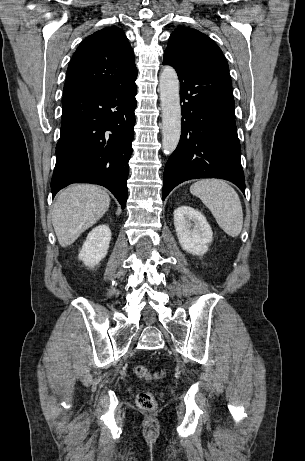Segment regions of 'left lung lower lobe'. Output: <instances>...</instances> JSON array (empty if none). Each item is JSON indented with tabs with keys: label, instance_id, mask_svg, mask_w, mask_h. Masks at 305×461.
<instances>
[{
	"label": "left lung lower lobe",
	"instance_id": "obj_1",
	"mask_svg": "<svg viewBox=\"0 0 305 461\" xmlns=\"http://www.w3.org/2000/svg\"><path fill=\"white\" fill-rule=\"evenodd\" d=\"M175 70L180 80L182 130L165 166L162 199L178 184L195 178L233 181L245 194L229 71Z\"/></svg>",
	"mask_w": 305,
	"mask_h": 461
}]
</instances>
